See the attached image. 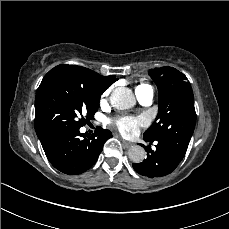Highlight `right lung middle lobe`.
I'll return each mask as SVG.
<instances>
[{
	"instance_id": "dd1d6c3e",
	"label": "right lung middle lobe",
	"mask_w": 229,
	"mask_h": 229,
	"mask_svg": "<svg viewBox=\"0 0 229 229\" xmlns=\"http://www.w3.org/2000/svg\"><path fill=\"white\" fill-rule=\"evenodd\" d=\"M99 101L100 95L88 91L73 75L49 71L35 98V130L42 146L93 119Z\"/></svg>"
}]
</instances>
